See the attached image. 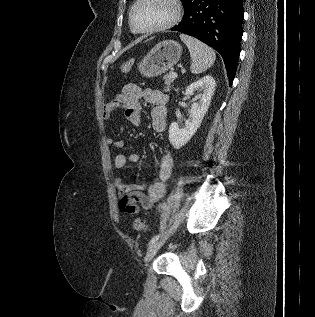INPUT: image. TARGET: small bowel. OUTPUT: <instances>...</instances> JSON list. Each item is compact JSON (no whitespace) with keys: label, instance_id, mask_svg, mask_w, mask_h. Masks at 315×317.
<instances>
[{"label":"small bowel","instance_id":"obj_1","mask_svg":"<svg viewBox=\"0 0 315 317\" xmlns=\"http://www.w3.org/2000/svg\"><path fill=\"white\" fill-rule=\"evenodd\" d=\"M151 105V125L154 131L163 132L167 124L166 94L153 89L141 90L135 84H127L113 100L104 105L102 116L107 120L119 108H122L127 120L132 125L141 123V102ZM106 144L115 149H122L124 143L112 136H107ZM140 159L138 153L117 154L114 158L116 168H124L130 163ZM173 168V159L165 153L159 163L158 179L150 184L125 183L120 177L115 179L117 188L118 205L122 212L137 214L140 208L150 209L161 199L165 193L166 182L170 178Z\"/></svg>","mask_w":315,"mask_h":317}]
</instances>
